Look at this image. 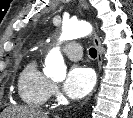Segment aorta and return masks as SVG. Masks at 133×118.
Masks as SVG:
<instances>
[{"label": "aorta", "instance_id": "762f6f07", "mask_svg": "<svg viewBox=\"0 0 133 118\" xmlns=\"http://www.w3.org/2000/svg\"><path fill=\"white\" fill-rule=\"evenodd\" d=\"M92 32V27L87 22H65L59 41H68L88 36ZM66 65L59 48L52 49L45 60V74L57 80L65 79Z\"/></svg>", "mask_w": 133, "mask_h": 118}]
</instances>
